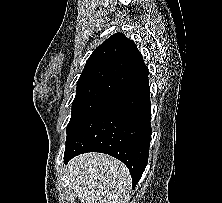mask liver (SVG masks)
Masks as SVG:
<instances>
[{"label":"liver","mask_w":222,"mask_h":203,"mask_svg":"<svg viewBox=\"0 0 222 203\" xmlns=\"http://www.w3.org/2000/svg\"><path fill=\"white\" fill-rule=\"evenodd\" d=\"M70 186L82 203H126L131 189L128 168L102 153H86L68 163Z\"/></svg>","instance_id":"liver-1"}]
</instances>
